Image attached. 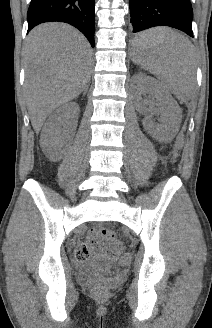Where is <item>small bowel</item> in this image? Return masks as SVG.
<instances>
[{
  "label": "small bowel",
  "mask_w": 212,
  "mask_h": 328,
  "mask_svg": "<svg viewBox=\"0 0 212 328\" xmlns=\"http://www.w3.org/2000/svg\"><path fill=\"white\" fill-rule=\"evenodd\" d=\"M77 251H83L86 255V258L92 253H96L101 259L106 263L114 261L117 259L119 253L118 250H115L111 246H105L100 242L98 232L93 230L90 233V240L86 244H81Z\"/></svg>",
  "instance_id": "1"
}]
</instances>
